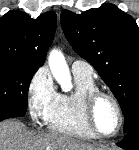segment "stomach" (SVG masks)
I'll use <instances>...</instances> for the list:
<instances>
[{
  "mask_svg": "<svg viewBox=\"0 0 139 150\" xmlns=\"http://www.w3.org/2000/svg\"><path fill=\"white\" fill-rule=\"evenodd\" d=\"M98 150H103V149H101V148H98Z\"/></svg>",
  "mask_w": 139,
  "mask_h": 150,
  "instance_id": "stomach-1",
  "label": "stomach"
}]
</instances>
